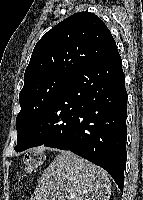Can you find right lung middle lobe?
Segmentation results:
<instances>
[{"instance_id": "dd1d6c3e", "label": "right lung middle lobe", "mask_w": 143, "mask_h": 200, "mask_svg": "<svg viewBox=\"0 0 143 200\" xmlns=\"http://www.w3.org/2000/svg\"><path fill=\"white\" fill-rule=\"evenodd\" d=\"M71 76L50 75L23 86L19 94L21 111L16 118L17 146L20 152L34 124L59 94Z\"/></svg>"}]
</instances>
